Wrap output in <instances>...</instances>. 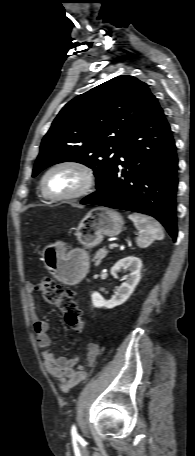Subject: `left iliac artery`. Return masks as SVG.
<instances>
[{
    "mask_svg": "<svg viewBox=\"0 0 195 456\" xmlns=\"http://www.w3.org/2000/svg\"><path fill=\"white\" fill-rule=\"evenodd\" d=\"M71 434L73 437H77V429L75 425H73L71 428Z\"/></svg>",
    "mask_w": 195,
    "mask_h": 456,
    "instance_id": "obj_1",
    "label": "left iliac artery"
}]
</instances>
